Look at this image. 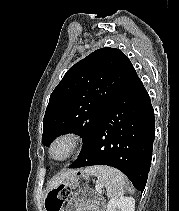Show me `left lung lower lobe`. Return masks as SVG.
Listing matches in <instances>:
<instances>
[{"instance_id": "obj_1", "label": "left lung lower lobe", "mask_w": 179, "mask_h": 211, "mask_svg": "<svg viewBox=\"0 0 179 211\" xmlns=\"http://www.w3.org/2000/svg\"><path fill=\"white\" fill-rule=\"evenodd\" d=\"M155 138L150 97L134 67L108 105L86 149L69 168L108 165L122 171L143 192Z\"/></svg>"}]
</instances>
